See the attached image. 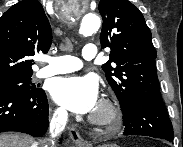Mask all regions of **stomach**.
Instances as JSON below:
<instances>
[{
	"instance_id": "obj_1",
	"label": "stomach",
	"mask_w": 183,
	"mask_h": 147,
	"mask_svg": "<svg viewBox=\"0 0 183 147\" xmlns=\"http://www.w3.org/2000/svg\"><path fill=\"white\" fill-rule=\"evenodd\" d=\"M99 147H118L116 144H103Z\"/></svg>"
}]
</instances>
